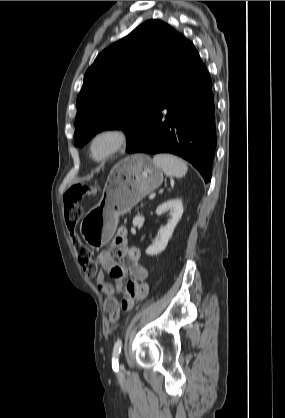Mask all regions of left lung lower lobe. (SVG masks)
<instances>
[{
	"label": "left lung lower lobe",
	"instance_id": "0a47b994",
	"mask_svg": "<svg viewBox=\"0 0 285 418\" xmlns=\"http://www.w3.org/2000/svg\"><path fill=\"white\" fill-rule=\"evenodd\" d=\"M216 144L211 77L194 45L184 38L146 129L128 152L178 155L209 182Z\"/></svg>",
	"mask_w": 285,
	"mask_h": 418
}]
</instances>
